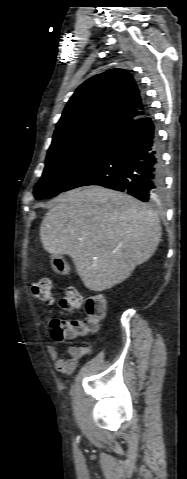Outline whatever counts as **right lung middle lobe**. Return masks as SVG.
Here are the masks:
<instances>
[{"instance_id":"obj_1","label":"right lung middle lobe","mask_w":187,"mask_h":479,"mask_svg":"<svg viewBox=\"0 0 187 479\" xmlns=\"http://www.w3.org/2000/svg\"><path fill=\"white\" fill-rule=\"evenodd\" d=\"M123 130L97 124L63 132L53 137L35 198L47 199L63 192L71 180L99 157Z\"/></svg>"}]
</instances>
